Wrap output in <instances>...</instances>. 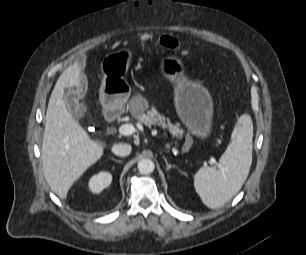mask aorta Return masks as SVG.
<instances>
[{
    "mask_svg": "<svg viewBox=\"0 0 306 255\" xmlns=\"http://www.w3.org/2000/svg\"><path fill=\"white\" fill-rule=\"evenodd\" d=\"M138 171L141 174H150L155 169V164L151 159H141L137 164Z\"/></svg>",
    "mask_w": 306,
    "mask_h": 255,
    "instance_id": "obj_1",
    "label": "aorta"
}]
</instances>
